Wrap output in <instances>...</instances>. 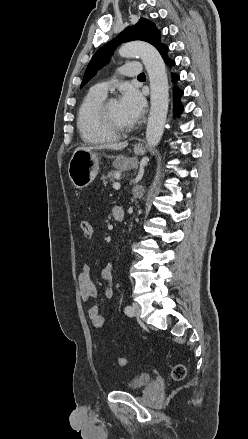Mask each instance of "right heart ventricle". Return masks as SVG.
Returning <instances> with one entry per match:
<instances>
[{
  "instance_id": "obj_1",
  "label": "right heart ventricle",
  "mask_w": 248,
  "mask_h": 439,
  "mask_svg": "<svg viewBox=\"0 0 248 439\" xmlns=\"http://www.w3.org/2000/svg\"><path fill=\"white\" fill-rule=\"evenodd\" d=\"M106 95L91 88L83 98L77 112V128L82 140L90 145L111 143L118 136L108 132L100 124L97 110Z\"/></svg>"
}]
</instances>
